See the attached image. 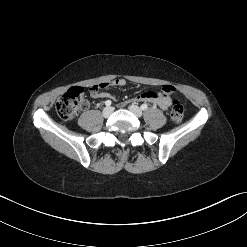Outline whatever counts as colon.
Returning a JSON list of instances; mask_svg holds the SVG:
<instances>
[{"label":"colon","instance_id":"1","mask_svg":"<svg viewBox=\"0 0 247 247\" xmlns=\"http://www.w3.org/2000/svg\"><path fill=\"white\" fill-rule=\"evenodd\" d=\"M106 84L94 85L93 88L101 90ZM85 90L81 87L70 88L56 102V111L65 121L75 118L77 112L85 106ZM184 108L180 101L174 100L171 105L170 117L173 123L179 124L183 120Z\"/></svg>","mask_w":247,"mask_h":247}]
</instances>
